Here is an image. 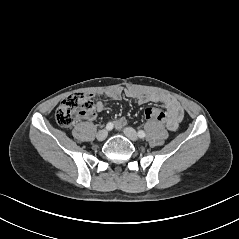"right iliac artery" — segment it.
Masks as SVG:
<instances>
[{"mask_svg": "<svg viewBox=\"0 0 239 239\" xmlns=\"http://www.w3.org/2000/svg\"><path fill=\"white\" fill-rule=\"evenodd\" d=\"M106 129H107V130H112V129H113V123L109 122V123L106 125Z\"/></svg>", "mask_w": 239, "mask_h": 239, "instance_id": "82829eb1", "label": "right iliac artery"}]
</instances>
